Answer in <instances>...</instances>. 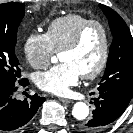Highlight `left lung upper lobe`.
Listing matches in <instances>:
<instances>
[{"label":"left lung upper lobe","instance_id":"obj_1","mask_svg":"<svg viewBox=\"0 0 133 133\" xmlns=\"http://www.w3.org/2000/svg\"><path fill=\"white\" fill-rule=\"evenodd\" d=\"M113 35L106 70L99 91H109L128 99L133 97V38L125 21L111 8L100 4Z\"/></svg>","mask_w":133,"mask_h":133}]
</instances>
